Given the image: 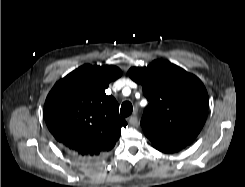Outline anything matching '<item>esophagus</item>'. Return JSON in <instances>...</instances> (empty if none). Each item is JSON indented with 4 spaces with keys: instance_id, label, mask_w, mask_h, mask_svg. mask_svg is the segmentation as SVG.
<instances>
[{
    "instance_id": "1",
    "label": "esophagus",
    "mask_w": 245,
    "mask_h": 187,
    "mask_svg": "<svg viewBox=\"0 0 245 187\" xmlns=\"http://www.w3.org/2000/svg\"><path fill=\"white\" fill-rule=\"evenodd\" d=\"M128 122L131 126L137 127L138 126V118L137 116L133 115L128 118Z\"/></svg>"
}]
</instances>
